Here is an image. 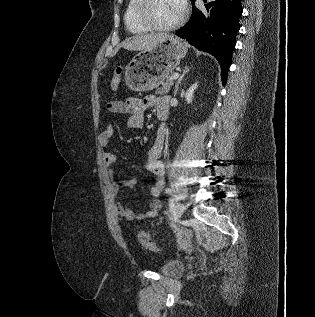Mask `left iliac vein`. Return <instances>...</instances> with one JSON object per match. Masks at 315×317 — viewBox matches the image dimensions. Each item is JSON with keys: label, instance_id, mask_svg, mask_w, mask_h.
<instances>
[{"label": "left iliac vein", "instance_id": "left-iliac-vein-1", "mask_svg": "<svg viewBox=\"0 0 315 317\" xmlns=\"http://www.w3.org/2000/svg\"><path fill=\"white\" fill-rule=\"evenodd\" d=\"M185 211L184 204L178 202L175 206V216L177 219H180Z\"/></svg>", "mask_w": 315, "mask_h": 317}]
</instances>
